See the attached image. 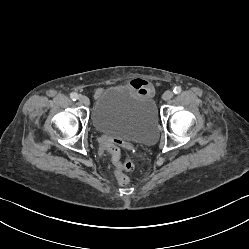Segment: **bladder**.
I'll list each match as a JSON object with an SVG mask.
<instances>
[{
    "label": "bladder",
    "mask_w": 249,
    "mask_h": 249,
    "mask_svg": "<svg viewBox=\"0 0 249 249\" xmlns=\"http://www.w3.org/2000/svg\"><path fill=\"white\" fill-rule=\"evenodd\" d=\"M92 122L98 132L128 143L152 144L158 136L154 100L130 87L105 89L96 101Z\"/></svg>",
    "instance_id": "obj_1"
}]
</instances>
